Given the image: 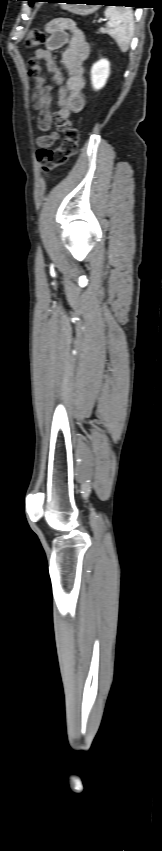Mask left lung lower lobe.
Here are the masks:
<instances>
[{
  "label": "left lung lower lobe",
  "mask_w": 162,
  "mask_h": 851,
  "mask_svg": "<svg viewBox=\"0 0 162 851\" xmlns=\"http://www.w3.org/2000/svg\"><path fill=\"white\" fill-rule=\"evenodd\" d=\"M41 1V0H37ZM47 2H57V0H43ZM100 2L105 3V5H117V6H129V4L136 3V0H100Z\"/></svg>",
  "instance_id": "obj_1"
}]
</instances>
